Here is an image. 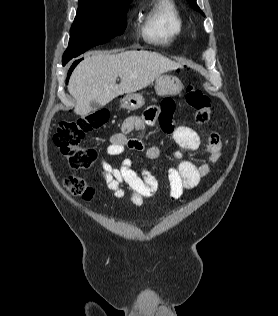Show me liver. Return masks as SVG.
I'll use <instances>...</instances> for the list:
<instances>
[{
  "instance_id": "1",
  "label": "liver",
  "mask_w": 278,
  "mask_h": 316,
  "mask_svg": "<svg viewBox=\"0 0 278 316\" xmlns=\"http://www.w3.org/2000/svg\"><path fill=\"white\" fill-rule=\"evenodd\" d=\"M181 65L151 51H126L119 54L95 52L73 71L68 91L76 100L75 113L91 112L92 101L104 106L119 95L146 88L162 73ZM117 77L121 82L116 84Z\"/></svg>"
}]
</instances>
